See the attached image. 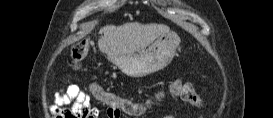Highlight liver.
I'll return each instance as SVG.
<instances>
[{
  "instance_id": "1",
  "label": "liver",
  "mask_w": 273,
  "mask_h": 118,
  "mask_svg": "<svg viewBox=\"0 0 273 118\" xmlns=\"http://www.w3.org/2000/svg\"><path fill=\"white\" fill-rule=\"evenodd\" d=\"M170 28L164 24L125 23L121 26L107 25L101 29L103 35L98 47L108 56L133 54L145 49Z\"/></svg>"
}]
</instances>
